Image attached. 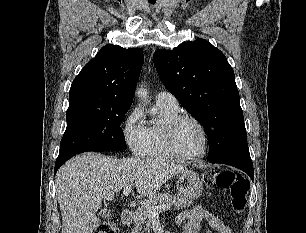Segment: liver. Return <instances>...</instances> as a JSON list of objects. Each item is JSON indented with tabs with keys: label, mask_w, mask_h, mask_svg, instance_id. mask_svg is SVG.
Here are the masks:
<instances>
[{
	"label": "liver",
	"mask_w": 306,
	"mask_h": 233,
	"mask_svg": "<svg viewBox=\"0 0 306 233\" xmlns=\"http://www.w3.org/2000/svg\"><path fill=\"white\" fill-rule=\"evenodd\" d=\"M189 171L160 158L106 157L85 153L67 161L57 172L56 195L62 233H92L100 224L96 212L102 200L134 183L138 197H151L173 176Z\"/></svg>",
	"instance_id": "6515ba94"
}]
</instances>
